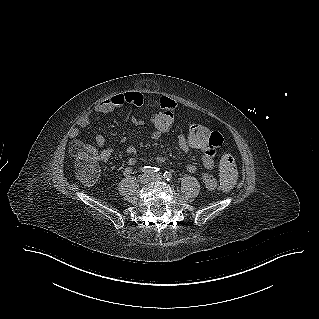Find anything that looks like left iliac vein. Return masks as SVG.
Instances as JSON below:
<instances>
[{
    "instance_id": "left-iliac-vein-1",
    "label": "left iliac vein",
    "mask_w": 319,
    "mask_h": 319,
    "mask_svg": "<svg viewBox=\"0 0 319 319\" xmlns=\"http://www.w3.org/2000/svg\"><path fill=\"white\" fill-rule=\"evenodd\" d=\"M150 178L152 181H161L163 179L162 175L159 173L152 174Z\"/></svg>"
}]
</instances>
